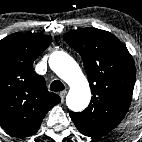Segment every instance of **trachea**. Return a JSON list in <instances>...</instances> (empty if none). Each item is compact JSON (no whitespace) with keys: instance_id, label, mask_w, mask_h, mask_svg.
<instances>
[{"instance_id":"1","label":"trachea","mask_w":142,"mask_h":142,"mask_svg":"<svg viewBox=\"0 0 142 142\" xmlns=\"http://www.w3.org/2000/svg\"><path fill=\"white\" fill-rule=\"evenodd\" d=\"M65 89V86L63 85V83L59 80H55L51 83L50 85V90L51 91H55V92H59Z\"/></svg>"}]
</instances>
